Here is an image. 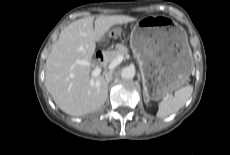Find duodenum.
<instances>
[{"mask_svg":"<svg viewBox=\"0 0 230 155\" xmlns=\"http://www.w3.org/2000/svg\"><path fill=\"white\" fill-rule=\"evenodd\" d=\"M96 60L103 65L106 64L107 62L106 53L104 51H98L96 53Z\"/></svg>","mask_w":230,"mask_h":155,"instance_id":"obj_1","label":"duodenum"}]
</instances>
